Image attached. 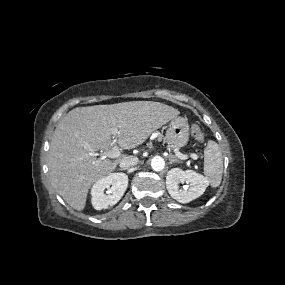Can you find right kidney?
Masks as SVG:
<instances>
[{
  "label": "right kidney",
  "instance_id": "ca27d5eb",
  "mask_svg": "<svg viewBox=\"0 0 285 285\" xmlns=\"http://www.w3.org/2000/svg\"><path fill=\"white\" fill-rule=\"evenodd\" d=\"M128 186V176L124 173H111L97 180L92 186V205L96 210L115 205Z\"/></svg>",
  "mask_w": 285,
  "mask_h": 285
}]
</instances>
